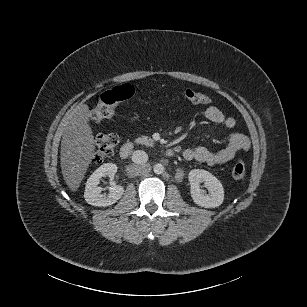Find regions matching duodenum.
I'll use <instances>...</instances> for the list:
<instances>
[{
    "label": "duodenum",
    "instance_id": "duodenum-1",
    "mask_svg": "<svg viewBox=\"0 0 307 307\" xmlns=\"http://www.w3.org/2000/svg\"><path fill=\"white\" fill-rule=\"evenodd\" d=\"M134 148H135L134 142H131V141L125 142L120 148L121 158H123V159L128 158L131 155V153L133 152ZM165 154L168 157H174L175 154H176V151L172 148H168V149H166Z\"/></svg>",
    "mask_w": 307,
    "mask_h": 307
}]
</instances>
